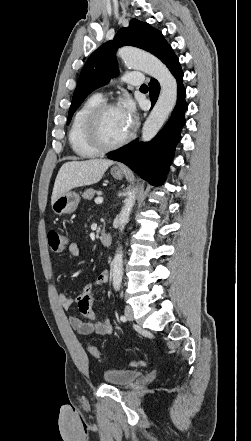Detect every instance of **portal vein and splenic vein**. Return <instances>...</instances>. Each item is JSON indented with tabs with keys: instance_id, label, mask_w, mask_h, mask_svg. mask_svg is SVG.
<instances>
[{
	"instance_id": "portal-vein-and-splenic-vein-1",
	"label": "portal vein and splenic vein",
	"mask_w": 251,
	"mask_h": 441,
	"mask_svg": "<svg viewBox=\"0 0 251 441\" xmlns=\"http://www.w3.org/2000/svg\"><path fill=\"white\" fill-rule=\"evenodd\" d=\"M102 202H103V198L102 197L95 198V203L96 204H101Z\"/></svg>"
}]
</instances>
